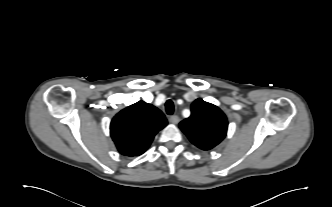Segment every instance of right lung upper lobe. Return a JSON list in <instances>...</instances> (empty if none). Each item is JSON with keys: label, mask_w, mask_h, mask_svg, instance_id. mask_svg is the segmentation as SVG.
<instances>
[{"label": "right lung upper lobe", "mask_w": 332, "mask_h": 207, "mask_svg": "<svg viewBox=\"0 0 332 207\" xmlns=\"http://www.w3.org/2000/svg\"><path fill=\"white\" fill-rule=\"evenodd\" d=\"M167 125L164 114L155 106L139 101L121 110L110 124L111 137L122 155L143 154L158 131Z\"/></svg>", "instance_id": "right-lung-upper-lobe-1"}]
</instances>
